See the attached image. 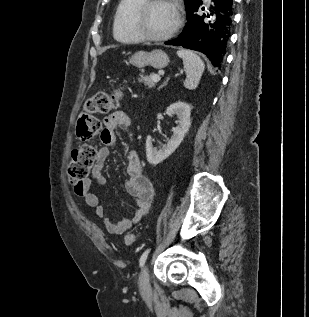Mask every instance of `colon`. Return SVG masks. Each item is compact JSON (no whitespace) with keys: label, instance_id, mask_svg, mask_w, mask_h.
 <instances>
[{"label":"colon","instance_id":"obj_1","mask_svg":"<svg viewBox=\"0 0 309 317\" xmlns=\"http://www.w3.org/2000/svg\"><path fill=\"white\" fill-rule=\"evenodd\" d=\"M121 92H98L91 96L85 104L83 113L77 122V135L82 140L96 136L101 130V122L95 114H105L114 110L120 102ZM97 148L91 144H82L73 149L68 167V178L74 186L86 179L97 159ZM135 239L132 234H127L125 242L132 245Z\"/></svg>","mask_w":309,"mask_h":317}]
</instances>
